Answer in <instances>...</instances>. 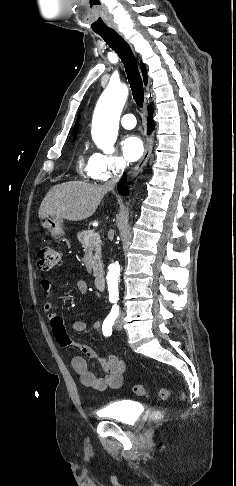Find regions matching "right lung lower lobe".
Instances as JSON below:
<instances>
[{
	"label": "right lung lower lobe",
	"instance_id": "98d812e1",
	"mask_svg": "<svg viewBox=\"0 0 236 486\" xmlns=\"http://www.w3.org/2000/svg\"><path fill=\"white\" fill-rule=\"evenodd\" d=\"M149 110V117H148V130L151 131L154 128V123L152 120V113H153V108L151 106L148 107ZM126 182V176H124L118 183L117 188L120 194L122 195H127L128 190L127 187L124 186Z\"/></svg>",
	"mask_w": 236,
	"mask_h": 486
}]
</instances>
